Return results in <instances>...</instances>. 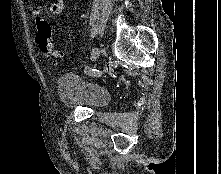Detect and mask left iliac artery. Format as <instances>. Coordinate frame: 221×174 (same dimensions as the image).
Segmentation results:
<instances>
[{
    "instance_id": "obj_1",
    "label": "left iliac artery",
    "mask_w": 221,
    "mask_h": 174,
    "mask_svg": "<svg viewBox=\"0 0 221 174\" xmlns=\"http://www.w3.org/2000/svg\"><path fill=\"white\" fill-rule=\"evenodd\" d=\"M86 71L88 74H91V75H100L102 73L101 70H96V69H87Z\"/></svg>"
}]
</instances>
